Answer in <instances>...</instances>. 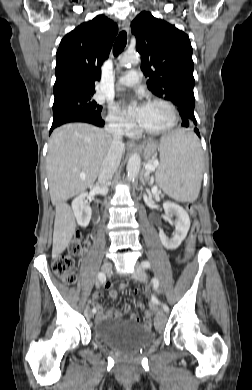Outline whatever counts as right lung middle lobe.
I'll return each instance as SVG.
<instances>
[{
	"label": "right lung middle lobe",
	"instance_id": "obj_1",
	"mask_svg": "<svg viewBox=\"0 0 252 390\" xmlns=\"http://www.w3.org/2000/svg\"><path fill=\"white\" fill-rule=\"evenodd\" d=\"M91 95H77L54 101L53 116L75 112L93 117H101L102 107L92 100Z\"/></svg>",
	"mask_w": 252,
	"mask_h": 390
}]
</instances>
